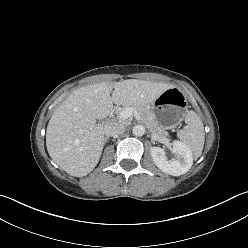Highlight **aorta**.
<instances>
[{"instance_id":"1","label":"aorta","mask_w":248,"mask_h":248,"mask_svg":"<svg viewBox=\"0 0 248 248\" xmlns=\"http://www.w3.org/2000/svg\"><path fill=\"white\" fill-rule=\"evenodd\" d=\"M132 132L135 136H143L145 134V127L143 125H135Z\"/></svg>"}]
</instances>
